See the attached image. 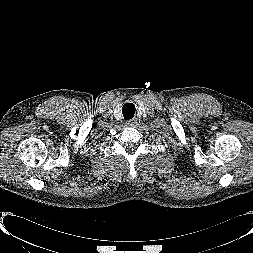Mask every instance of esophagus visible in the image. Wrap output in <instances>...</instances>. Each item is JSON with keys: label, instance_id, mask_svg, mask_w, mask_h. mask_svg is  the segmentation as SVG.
I'll return each mask as SVG.
<instances>
[{"label": "esophagus", "instance_id": "1", "mask_svg": "<svg viewBox=\"0 0 253 253\" xmlns=\"http://www.w3.org/2000/svg\"><path fill=\"white\" fill-rule=\"evenodd\" d=\"M137 118H132L128 121V125L131 126V127H136L137 126Z\"/></svg>", "mask_w": 253, "mask_h": 253}]
</instances>
